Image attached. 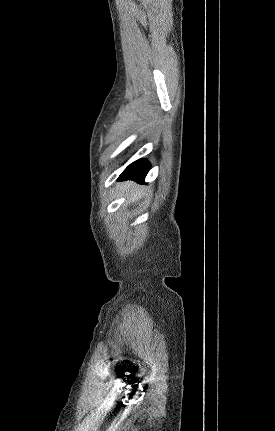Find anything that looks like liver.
I'll use <instances>...</instances> for the list:
<instances>
[{"label": "liver", "instance_id": "1", "mask_svg": "<svg viewBox=\"0 0 275 431\" xmlns=\"http://www.w3.org/2000/svg\"><path fill=\"white\" fill-rule=\"evenodd\" d=\"M131 185V182H127V183H125V187H129ZM144 195V193L142 192V191H140V190H138V191H136V192H133L132 194H131V198H130V201H132V202H135V201H137L138 199H140L142 196Z\"/></svg>", "mask_w": 275, "mask_h": 431}]
</instances>
